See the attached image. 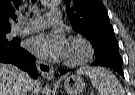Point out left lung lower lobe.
<instances>
[{
    "mask_svg": "<svg viewBox=\"0 0 135 95\" xmlns=\"http://www.w3.org/2000/svg\"><path fill=\"white\" fill-rule=\"evenodd\" d=\"M94 66H105L112 68L113 70L117 71L121 76L124 77L122 71V58L119 54L116 53H109L107 56H96L95 61L91 64ZM70 71L69 69H60L59 72L61 75Z\"/></svg>",
    "mask_w": 135,
    "mask_h": 95,
    "instance_id": "0a47b994",
    "label": "left lung lower lobe"
}]
</instances>
